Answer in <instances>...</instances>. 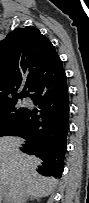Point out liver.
Returning <instances> with one entry per match:
<instances>
[{
    "label": "liver",
    "instance_id": "obj_1",
    "mask_svg": "<svg viewBox=\"0 0 89 203\" xmlns=\"http://www.w3.org/2000/svg\"><path fill=\"white\" fill-rule=\"evenodd\" d=\"M23 139L3 137L0 139V194L9 198V203H18L20 198L33 196L38 200L49 196L57 180L36 172L40 159L22 153L19 146Z\"/></svg>",
    "mask_w": 89,
    "mask_h": 203
}]
</instances>
